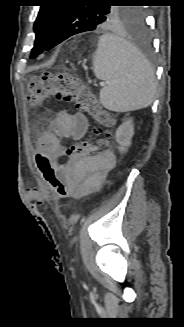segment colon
<instances>
[{
  "label": "colon",
  "instance_id": "1",
  "mask_svg": "<svg viewBox=\"0 0 184 327\" xmlns=\"http://www.w3.org/2000/svg\"><path fill=\"white\" fill-rule=\"evenodd\" d=\"M52 98L73 102L77 110L89 114L97 124L89 139L71 146L69 150L77 151L82 156L95 155L104 151L109 145L110 128L114 125V117L101 106L81 79L64 72H44L30 81L26 95L30 105H41ZM37 164L44 179L60 199L73 198L70 189L60 178L64 165L62 157L50 159L40 156Z\"/></svg>",
  "mask_w": 184,
  "mask_h": 327
}]
</instances>
